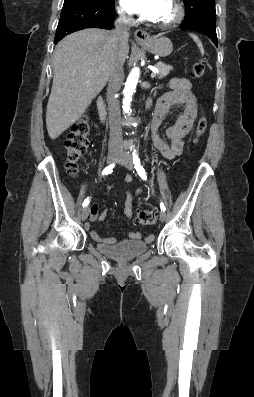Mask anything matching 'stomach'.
I'll return each instance as SVG.
<instances>
[{
  "label": "stomach",
  "instance_id": "obj_1",
  "mask_svg": "<svg viewBox=\"0 0 254 397\" xmlns=\"http://www.w3.org/2000/svg\"><path fill=\"white\" fill-rule=\"evenodd\" d=\"M141 46L146 48L152 54L160 57H166L173 51L171 40L163 36H153L148 42L141 43Z\"/></svg>",
  "mask_w": 254,
  "mask_h": 397
}]
</instances>
